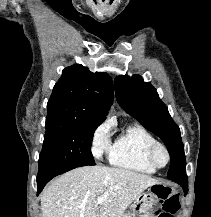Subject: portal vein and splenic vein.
Instances as JSON below:
<instances>
[{
    "mask_svg": "<svg viewBox=\"0 0 211 217\" xmlns=\"http://www.w3.org/2000/svg\"><path fill=\"white\" fill-rule=\"evenodd\" d=\"M103 201H104V197H103V196H99V197L97 198V203H98L99 205H101V204L103 203Z\"/></svg>",
    "mask_w": 211,
    "mask_h": 217,
    "instance_id": "portal-vein-and-splenic-vein-1",
    "label": "portal vein and splenic vein"
}]
</instances>
